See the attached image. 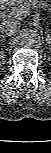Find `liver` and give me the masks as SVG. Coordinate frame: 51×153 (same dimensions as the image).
<instances>
[{
    "instance_id": "liver-1",
    "label": "liver",
    "mask_w": 51,
    "mask_h": 153,
    "mask_svg": "<svg viewBox=\"0 0 51 153\" xmlns=\"http://www.w3.org/2000/svg\"><path fill=\"white\" fill-rule=\"evenodd\" d=\"M16 2V0H0V4H11Z\"/></svg>"
}]
</instances>
